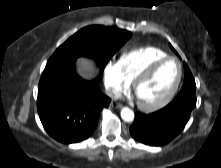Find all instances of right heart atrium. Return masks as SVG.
<instances>
[{"instance_id":"1","label":"right heart atrium","mask_w":221,"mask_h":168,"mask_svg":"<svg viewBox=\"0 0 221 168\" xmlns=\"http://www.w3.org/2000/svg\"><path fill=\"white\" fill-rule=\"evenodd\" d=\"M103 83L106 93L112 98L119 96L129 86L118 62L113 60L108 61L103 68Z\"/></svg>"}]
</instances>
